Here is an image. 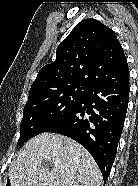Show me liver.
<instances>
[{"instance_id":"obj_1","label":"liver","mask_w":138,"mask_h":186,"mask_svg":"<svg viewBox=\"0 0 138 186\" xmlns=\"http://www.w3.org/2000/svg\"><path fill=\"white\" fill-rule=\"evenodd\" d=\"M43 160L53 169L44 168ZM11 186H100L102 175L90 153L76 141L43 133L30 139L9 167Z\"/></svg>"}]
</instances>
